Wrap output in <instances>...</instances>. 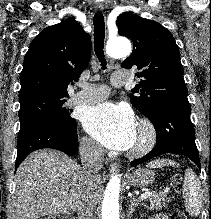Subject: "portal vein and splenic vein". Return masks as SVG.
Listing matches in <instances>:
<instances>
[{
  "mask_svg": "<svg viewBox=\"0 0 211 219\" xmlns=\"http://www.w3.org/2000/svg\"><path fill=\"white\" fill-rule=\"evenodd\" d=\"M152 194V192L151 191H149V190H147V191H145V192H143L141 195H140V199H145V198H147L149 195H151Z\"/></svg>",
  "mask_w": 211,
  "mask_h": 219,
  "instance_id": "18ae733b",
  "label": "portal vein and splenic vein"
}]
</instances>
